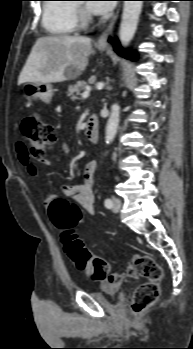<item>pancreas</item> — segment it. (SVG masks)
Masks as SVG:
<instances>
[{"mask_svg":"<svg viewBox=\"0 0 193 349\" xmlns=\"http://www.w3.org/2000/svg\"><path fill=\"white\" fill-rule=\"evenodd\" d=\"M87 86L85 81H77L74 85L68 87L67 96L75 100L77 99V95H79L83 89L87 88Z\"/></svg>","mask_w":193,"mask_h":349,"instance_id":"pancreas-1","label":"pancreas"}]
</instances>
